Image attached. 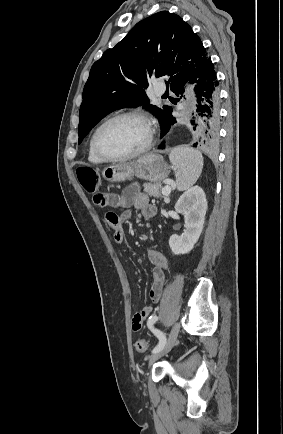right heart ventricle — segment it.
<instances>
[{"label":"right heart ventricle","instance_id":"right-heart-ventricle-1","mask_svg":"<svg viewBox=\"0 0 283 434\" xmlns=\"http://www.w3.org/2000/svg\"><path fill=\"white\" fill-rule=\"evenodd\" d=\"M88 159L90 162L95 163V164H100L103 163L104 161L99 158L97 156V154L94 152L92 144H91V140L89 142V147H88Z\"/></svg>","mask_w":283,"mask_h":434}]
</instances>
